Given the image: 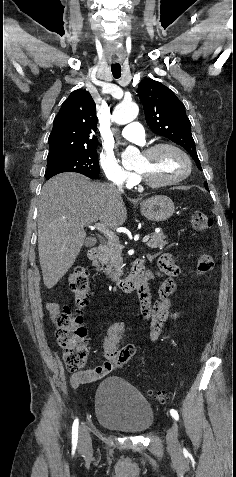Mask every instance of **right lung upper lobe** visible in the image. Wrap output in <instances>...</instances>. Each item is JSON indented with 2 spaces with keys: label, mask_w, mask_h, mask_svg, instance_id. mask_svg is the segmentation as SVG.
<instances>
[{
  "label": "right lung upper lobe",
  "mask_w": 236,
  "mask_h": 477,
  "mask_svg": "<svg viewBox=\"0 0 236 477\" xmlns=\"http://www.w3.org/2000/svg\"><path fill=\"white\" fill-rule=\"evenodd\" d=\"M96 122V105L90 93L80 89L72 92L54 120L47 160L97 145Z\"/></svg>",
  "instance_id": "obj_1"
}]
</instances>
